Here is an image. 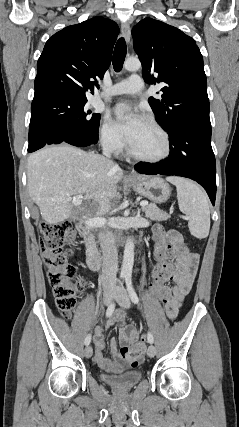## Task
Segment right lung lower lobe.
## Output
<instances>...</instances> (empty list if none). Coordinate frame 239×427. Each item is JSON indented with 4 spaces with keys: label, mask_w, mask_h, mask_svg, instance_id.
I'll return each mask as SVG.
<instances>
[{
    "label": "right lung lower lobe",
    "mask_w": 239,
    "mask_h": 427,
    "mask_svg": "<svg viewBox=\"0 0 239 427\" xmlns=\"http://www.w3.org/2000/svg\"><path fill=\"white\" fill-rule=\"evenodd\" d=\"M97 141H98V132H97V136L95 137V140L92 141V142H85V143H83V142H73V141H69V140H66V139L51 140V141H46L41 147H38V148H35V149H31V150L28 149V152L31 153V152H34V151H36V150H38V149H40V148H42L44 146L51 145V144H59V143H67V144H71V145L79 146V147H93V146H95L97 144Z\"/></svg>",
    "instance_id": "1"
}]
</instances>
